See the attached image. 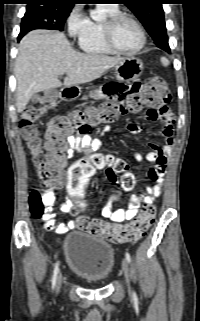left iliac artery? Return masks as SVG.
Here are the masks:
<instances>
[{"mask_svg": "<svg viewBox=\"0 0 200 321\" xmlns=\"http://www.w3.org/2000/svg\"><path fill=\"white\" fill-rule=\"evenodd\" d=\"M125 256H126V260L128 261V263H130L131 262L130 254L128 252H126Z\"/></svg>", "mask_w": 200, "mask_h": 321, "instance_id": "1", "label": "left iliac artery"}]
</instances>
